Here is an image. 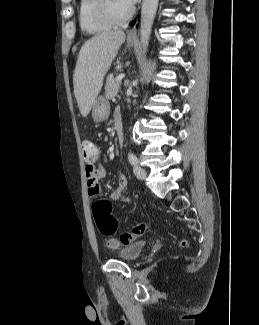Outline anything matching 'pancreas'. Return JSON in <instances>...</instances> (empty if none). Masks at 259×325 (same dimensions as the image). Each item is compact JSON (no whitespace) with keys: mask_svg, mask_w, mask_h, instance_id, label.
<instances>
[{"mask_svg":"<svg viewBox=\"0 0 259 325\" xmlns=\"http://www.w3.org/2000/svg\"><path fill=\"white\" fill-rule=\"evenodd\" d=\"M119 88H120V82L113 77V74H110L106 79V85H105L106 98L112 99L115 96H117Z\"/></svg>","mask_w":259,"mask_h":325,"instance_id":"cf45deb5","label":"pancreas"}]
</instances>
